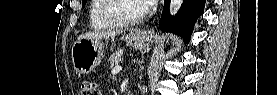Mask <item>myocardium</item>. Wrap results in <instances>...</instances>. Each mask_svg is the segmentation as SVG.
<instances>
[{
	"label": "myocardium",
	"instance_id": "obj_1",
	"mask_svg": "<svg viewBox=\"0 0 277 95\" xmlns=\"http://www.w3.org/2000/svg\"><path fill=\"white\" fill-rule=\"evenodd\" d=\"M117 1H120V0H106L102 9H101V16L111 22V23H114L116 25H119V26H126V25H133V24H137V23H140L141 21H143L144 19H146L150 13V9L148 7H145L143 12L135 17V18H124V17H121L119 15H116L112 9L115 5V3Z\"/></svg>",
	"mask_w": 277,
	"mask_h": 95
}]
</instances>
